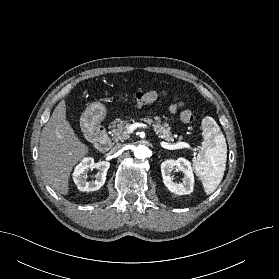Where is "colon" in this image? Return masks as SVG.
<instances>
[{"mask_svg":"<svg viewBox=\"0 0 279 279\" xmlns=\"http://www.w3.org/2000/svg\"><path fill=\"white\" fill-rule=\"evenodd\" d=\"M163 95H164L163 92L149 90V91H139L134 94L133 98L137 105L143 106L155 102ZM177 106L180 107V118L183 122L191 123L194 121L195 119L194 113L191 110L185 108L182 102L178 101Z\"/></svg>","mask_w":279,"mask_h":279,"instance_id":"colon-1","label":"colon"}]
</instances>
